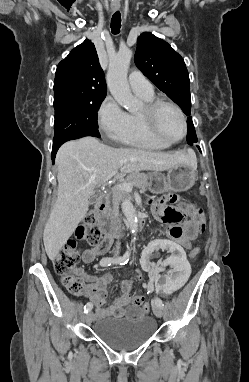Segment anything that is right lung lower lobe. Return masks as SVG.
Listing matches in <instances>:
<instances>
[{"instance_id":"obj_1","label":"right lung lower lobe","mask_w":249,"mask_h":382,"mask_svg":"<svg viewBox=\"0 0 249 382\" xmlns=\"http://www.w3.org/2000/svg\"><path fill=\"white\" fill-rule=\"evenodd\" d=\"M84 136H95V135H79V136H74V137H70V138L64 139V140H62L60 142H57V143H53V148H52V162H53V164H54V161H55L56 153H57L59 147L63 143H65L66 141L78 139V138H81V137H84ZM95 137H97V136H95Z\"/></svg>"}]
</instances>
